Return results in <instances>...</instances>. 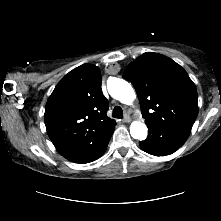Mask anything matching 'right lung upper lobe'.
Returning <instances> with one entry per match:
<instances>
[{"instance_id":"obj_1","label":"right lung upper lobe","mask_w":221,"mask_h":221,"mask_svg":"<svg viewBox=\"0 0 221 221\" xmlns=\"http://www.w3.org/2000/svg\"><path fill=\"white\" fill-rule=\"evenodd\" d=\"M97 66L81 65L57 84L44 114L47 133L57 151L76 162L114 131L115 120L106 112Z\"/></svg>"}]
</instances>
